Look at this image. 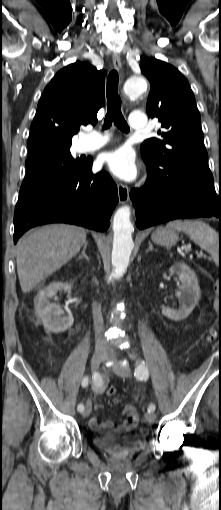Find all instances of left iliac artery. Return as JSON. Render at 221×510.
<instances>
[{
    "mask_svg": "<svg viewBox=\"0 0 221 510\" xmlns=\"http://www.w3.org/2000/svg\"><path fill=\"white\" fill-rule=\"evenodd\" d=\"M134 376L140 380H147L149 377V371L144 361H138L134 371ZM156 409L155 404L151 403L148 406V412H154Z\"/></svg>",
    "mask_w": 221,
    "mask_h": 510,
    "instance_id": "44dca946",
    "label": "left iliac artery"
}]
</instances>
